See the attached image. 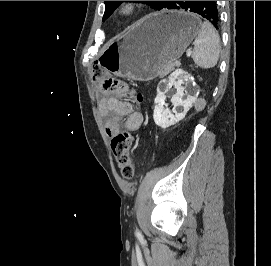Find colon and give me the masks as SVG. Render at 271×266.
<instances>
[{"label": "colon", "mask_w": 271, "mask_h": 266, "mask_svg": "<svg viewBox=\"0 0 271 266\" xmlns=\"http://www.w3.org/2000/svg\"><path fill=\"white\" fill-rule=\"evenodd\" d=\"M93 79L102 92L111 93L120 98H129L137 103L143 100L142 95L131 89L124 80L110 75L98 65L93 68ZM132 146L133 136L127 131L118 132L111 140L115 160L122 175L127 178L134 174V165L130 156Z\"/></svg>", "instance_id": "obj_1"}]
</instances>
